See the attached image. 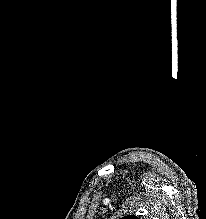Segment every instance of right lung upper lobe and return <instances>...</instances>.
Listing matches in <instances>:
<instances>
[{"mask_svg":"<svg viewBox=\"0 0 206 219\" xmlns=\"http://www.w3.org/2000/svg\"><path fill=\"white\" fill-rule=\"evenodd\" d=\"M120 219H139V218L136 216H133V215H128V216H125V217L120 218Z\"/></svg>","mask_w":206,"mask_h":219,"instance_id":"obj_1","label":"right lung upper lobe"}]
</instances>
